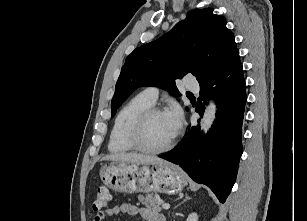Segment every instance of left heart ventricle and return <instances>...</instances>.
I'll return each mask as SVG.
<instances>
[{
    "instance_id": "obj_1",
    "label": "left heart ventricle",
    "mask_w": 307,
    "mask_h": 221,
    "mask_svg": "<svg viewBox=\"0 0 307 221\" xmlns=\"http://www.w3.org/2000/svg\"><path fill=\"white\" fill-rule=\"evenodd\" d=\"M175 134L167 113L154 115L148 122L143 141L152 148L165 145Z\"/></svg>"
}]
</instances>
